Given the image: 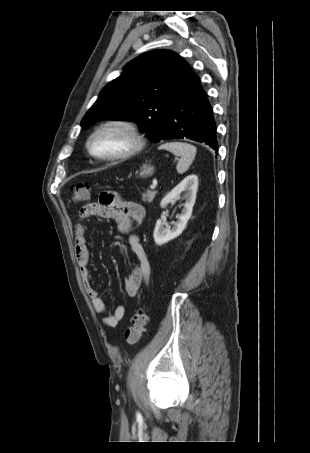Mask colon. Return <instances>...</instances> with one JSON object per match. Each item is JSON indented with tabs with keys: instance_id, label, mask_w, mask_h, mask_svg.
Returning a JSON list of instances; mask_svg holds the SVG:
<instances>
[{
	"instance_id": "5ec220e1",
	"label": "colon",
	"mask_w": 310,
	"mask_h": 453,
	"mask_svg": "<svg viewBox=\"0 0 310 453\" xmlns=\"http://www.w3.org/2000/svg\"><path fill=\"white\" fill-rule=\"evenodd\" d=\"M91 187L86 184L74 186L72 199L75 203H81L89 199ZM114 199V193L103 192L99 200L103 205H109ZM147 314L143 307H139L131 318V325L124 332L125 342L129 345L138 343L147 323Z\"/></svg>"
}]
</instances>
